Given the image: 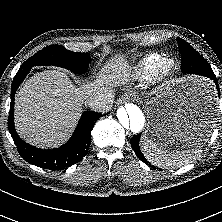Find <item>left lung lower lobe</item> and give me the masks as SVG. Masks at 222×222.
<instances>
[{
    "mask_svg": "<svg viewBox=\"0 0 222 222\" xmlns=\"http://www.w3.org/2000/svg\"><path fill=\"white\" fill-rule=\"evenodd\" d=\"M181 70L183 73L201 75V76H205L212 79L215 82V85L218 91V96H220L219 85H218V81L215 74L212 71H206L205 69L202 68V66H198L197 60H193L190 57L182 58ZM140 136L141 135L139 134V135L134 136L131 139V146L135 154L138 156V158L142 160L145 164H148L146 158L142 154L139 147Z\"/></svg>",
    "mask_w": 222,
    "mask_h": 222,
    "instance_id": "obj_1",
    "label": "left lung lower lobe"
}]
</instances>
